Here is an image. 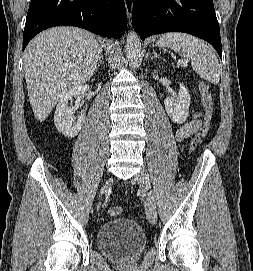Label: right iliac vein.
Segmentation results:
<instances>
[{"mask_svg": "<svg viewBox=\"0 0 253 271\" xmlns=\"http://www.w3.org/2000/svg\"><path fill=\"white\" fill-rule=\"evenodd\" d=\"M111 184H112L111 179H110V178L107 179L106 182H105V184H104V186H103V188H102V192H103L104 190L108 189V188L111 186ZM102 192H101V193H102Z\"/></svg>", "mask_w": 253, "mask_h": 271, "instance_id": "obj_1", "label": "right iliac vein"}]
</instances>
